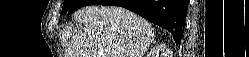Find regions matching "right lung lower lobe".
I'll return each instance as SVG.
<instances>
[{
    "mask_svg": "<svg viewBox=\"0 0 249 57\" xmlns=\"http://www.w3.org/2000/svg\"><path fill=\"white\" fill-rule=\"evenodd\" d=\"M97 4L129 9L170 31L177 44L181 41L188 9L187 0H96Z\"/></svg>",
    "mask_w": 249,
    "mask_h": 57,
    "instance_id": "right-lung-lower-lobe-1",
    "label": "right lung lower lobe"
}]
</instances>
